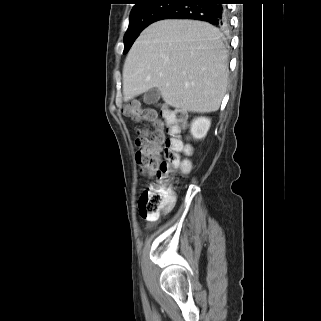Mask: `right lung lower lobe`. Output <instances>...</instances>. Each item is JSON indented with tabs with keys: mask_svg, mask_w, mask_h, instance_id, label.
Listing matches in <instances>:
<instances>
[{
	"mask_svg": "<svg viewBox=\"0 0 321 321\" xmlns=\"http://www.w3.org/2000/svg\"><path fill=\"white\" fill-rule=\"evenodd\" d=\"M227 0H178L177 4L162 14L163 19H194L208 22L218 28L228 24Z\"/></svg>",
	"mask_w": 321,
	"mask_h": 321,
	"instance_id": "right-lung-lower-lobe-1",
	"label": "right lung lower lobe"
}]
</instances>
